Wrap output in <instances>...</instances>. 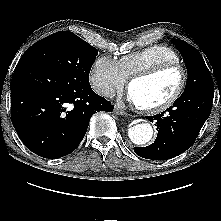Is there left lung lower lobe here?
I'll return each mask as SVG.
<instances>
[{"label":"left lung lower lobe","mask_w":221,"mask_h":221,"mask_svg":"<svg viewBox=\"0 0 221 221\" xmlns=\"http://www.w3.org/2000/svg\"><path fill=\"white\" fill-rule=\"evenodd\" d=\"M213 84L181 95L165 112L148 116L158 130L155 142L146 147H134L135 153L146 159L167 160L185 152L196 140L211 113Z\"/></svg>","instance_id":"left-lung-lower-lobe-1"}]
</instances>
